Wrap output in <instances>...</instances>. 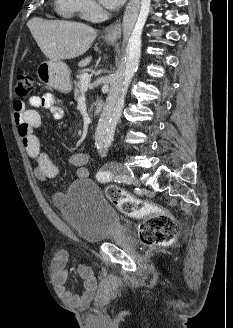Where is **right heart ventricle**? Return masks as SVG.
Wrapping results in <instances>:
<instances>
[{"label": "right heart ventricle", "instance_id": "right-heart-ventricle-1", "mask_svg": "<svg viewBox=\"0 0 233 328\" xmlns=\"http://www.w3.org/2000/svg\"><path fill=\"white\" fill-rule=\"evenodd\" d=\"M58 11L67 17H72L77 13V4L75 0H56Z\"/></svg>", "mask_w": 233, "mask_h": 328}]
</instances>
